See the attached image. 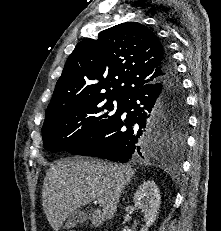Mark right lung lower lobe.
Wrapping results in <instances>:
<instances>
[{"instance_id":"1","label":"right lung lower lobe","mask_w":221,"mask_h":231,"mask_svg":"<svg viewBox=\"0 0 221 231\" xmlns=\"http://www.w3.org/2000/svg\"><path fill=\"white\" fill-rule=\"evenodd\" d=\"M161 67V82L143 86L125 97L118 114L103 129L68 152L121 163L159 154L166 140L154 130L153 115L165 99L185 103L176 65L166 49Z\"/></svg>"}]
</instances>
